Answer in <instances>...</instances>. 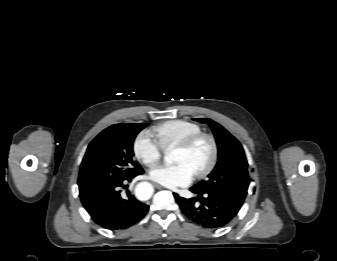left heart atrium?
<instances>
[{
  "label": "left heart atrium",
  "instance_id": "39dd6f15",
  "mask_svg": "<svg viewBox=\"0 0 337 261\" xmlns=\"http://www.w3.org/2000/svg\"><path fill=\"white\" fill-rule=\"evenodd\" d=\"M149 175L153 181L169 188L186 186L194 177L191 169L183 163L158 165L150 170Z\"/></svg>",
  "mask_w": 337,
  "mask_h": 261
}]
</instances>
